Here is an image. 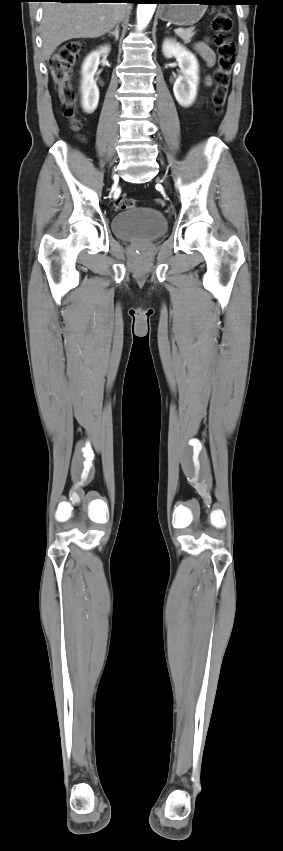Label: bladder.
I'll return each instance as SVG.
<instances>
[{
  "instance_id": "bladder-1",
  "label": "bladder",
  "mask_w": 283,
  "mask_h": 851,
  "mask_svg": "<svg viewBox=\"0 0 283 851\" xmlns=\"http://www.w3.org/2000/svg\"><path fill=\"white\" fill-rule=\"evenodd\" d=\"M112 231L122 240H152L167 230L164 214L150 207H133L115 214L112 218Z\"/></svg>"
}]
</instances>
